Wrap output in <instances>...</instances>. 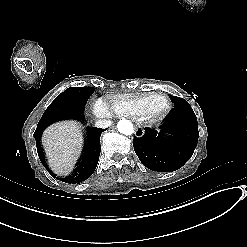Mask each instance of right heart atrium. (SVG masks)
<instances>
[{
    "label": "right heart atrium",
    "mask_w": 247,
    "mask_h": 247,
    "mask_svg": "<svg viewBox=\"0 0 247 247\" xmlns=\"http://www.w3.org/2000/svg\"><path fill=\"white\" fill-rule=\"evenodd\" d=\"M94 113L99 117L106 116L105 109L103 107V104L100 101H96L93 106Z\"/></svg>",
    "instance_id": "obj_1"
}]
</instances>
